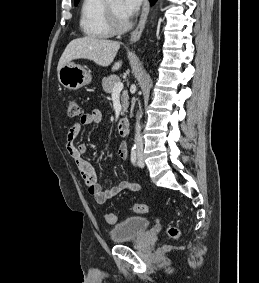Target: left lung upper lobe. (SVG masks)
Instances as JSON below:
<instances>
[{
	"mask_svg": "<svg viewBox=\"0 0 259 283\" xmlns=\"http://www.w3.org/2000/svg\"><path fill=\"white\" fill-rule=\"evenodd\" d=\"M74 2H75V5H77V3L79 2V0H75Z\"/></svg>",
	"mask_w": 259,
	"mask_h": 283,
	"instance_id": "left-lung-upper-lobe-1",
	"label": "left lung upper lobe"
}]
</instances>
